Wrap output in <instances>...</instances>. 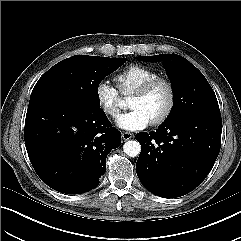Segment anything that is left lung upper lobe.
<instances>
[{
  "label": "left lung upper lobe",
  "mask_w": 241,
  "mask_h": 241,
  "mask_svg": "<svg viewBox=\"0 0 241 241\" xmlns=\"http://www.w3.org/2000/svg\"><path fill=\"white\" fill-rule=\"evenodd\" d=\"M148 62L163 61L173 88V108L164 121L170 123L179 117L195 113L220 114L215 93L204 75L188 60L177 54L139 56Z\"/></svg>",
  "instance_id": "left-lung-upper-lobe-1"
}]
</instances>
